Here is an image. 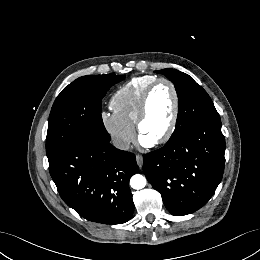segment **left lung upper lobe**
<instances>
[{"instance_id": "1", "label": "left lung upper lobe", "mask_w": 260, "mask_h": 260, "mask_svg": "<svg viewBox=\"0 0 260 260\" xmlns=\"http://www.w3.org/2000/svg\"><path fill=\"white\" fill-rule=\"evenodd\" d=\"M156 72L164 74L174 83L179 98L176 127L169 140H174L196 122L220 118L207 92L192 77L175 69Z\"/></svg>"}]
</instances>
